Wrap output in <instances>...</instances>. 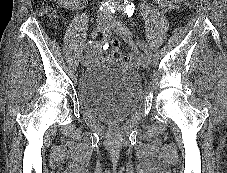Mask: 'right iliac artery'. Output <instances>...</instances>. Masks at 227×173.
<instances>
[{"mask_svg": "<svg viewBox=\"0 0 227 173\" xmlns=\"http://www.w3.org/2000/svg\"><path fill=\"white\" fill-rule=\"evenodd\" d=\"M110 37V29L107 27L104 32H103V37H101V39H99V41H89L86 45L85 48V52H87V50L95 48V47H103L104 43L107 42V38ZM85 55L81 56V59L84 57Z\"/></svg>", "mask_w": 227, "mask_h": 173, "instance_id": "82829eb1", "label": "right iliac artery"}]
</instances>
